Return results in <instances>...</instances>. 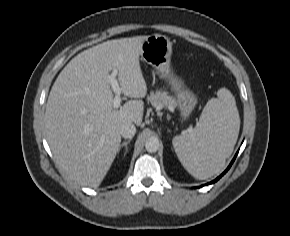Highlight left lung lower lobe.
I'll return each instance as SVG.
<instances>
[{"instance_id":"obj_1","label":"left lung lower lobe","mask_w":290,"mask_h":236,"mask_svg":"<svg viewBox=\"0 0 290 236\" xmlns=\"http://www.w3.org/2000/svg\"><path fill=\"white\" fill-rule=\"evenodd\" d=\"M238 152L236 153V155L234 156L233 160L231 161L230 165L227 167V169L219 176L217 177L215 180H213L212 182H209L208 184H212V183H215L217 180H219L228 170L229 168L232 166L236 156H237Z\"/></svg>"}]
</instances>
